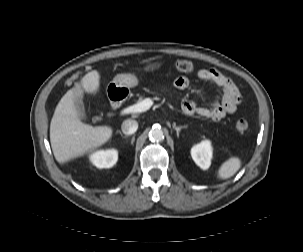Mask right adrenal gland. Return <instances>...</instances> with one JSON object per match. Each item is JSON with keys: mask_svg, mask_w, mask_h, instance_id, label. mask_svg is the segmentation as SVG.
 Listing matches in <instances>:
<instances>
[{"mask_svg": "<svg viewBox=\"0 0 303 252\" xmlns=\"http://www.w3.org/2000/svg\"><path fill=\"white\" fill-rule=\"evenodd\" d=\"M117 133H119L122 137L126 138V136H123L121 131H117Z\"/></svg>", "mask_w": 303, "mask_h": 252, "instance_id": "2a0ac1e0", "label": "right adrenal gland"}]
</instances>
